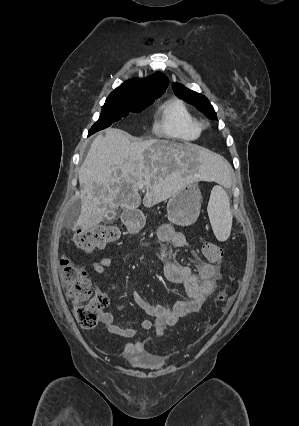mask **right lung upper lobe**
I'll return each instance as SVG.
<instances>
[{
  "label": "right lung upper lobe",
  "mask_w": 299,
  "mask_h": 426,
  "mask_svg": "<svg viewBox=\"0 0 299 426\" xmlns=\"http://www.w3.org/2000/svg\"><path fill=\"white\" fill-rule=\"evenodd\" d=\"M168 78L156 73L146 79H133L116 88L110 95L121 99H138L140 95L147 92L165 91L168 86Z\"/></svg>",
  "instance_id": "right-lung-upper-lobe-1"
}]
</instances>
